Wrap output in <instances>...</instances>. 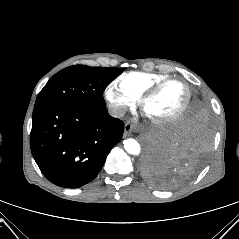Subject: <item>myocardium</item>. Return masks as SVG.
Masks as SVG:
<instances>
[{"label":"myocardium","mask_w":239,"mask_h":239,"mask_svg":"<svg viewBox=\"0 0 239 239\" xmlns=\"http://www.w3.org/2000/svg\"><path fill=\"white\" fill-rule=\"evenodd\" d=\"M172 82H179V83L183 84L186 89L187 95H186V99H185L183 105L175 113L168 115V116H151V115L147 114L144 110V106H145L146 102L149 101L151 98H153L164 86H166L167 84L172 83ZM191 98H192V90H191L190 85L187 82H185L184 80L179 79V78L167 77V78L155 83L151 87H149L140 96L139 106H140L141 110L143 111V113L150 119L151 122H153L155 124H162V123H168V122L177 120L178 118L183 116L185 114V112L187 111V109L189 108Z\"/></svg>","instance_id":"f54148a6"}]
</instances>
